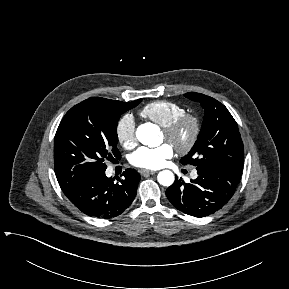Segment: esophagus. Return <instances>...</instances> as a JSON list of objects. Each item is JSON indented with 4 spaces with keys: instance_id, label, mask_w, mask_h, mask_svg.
I'll return each instance as SVG.
<instances>
[{
    "instance_id": "1",
    "label": "esophagus",
    "mask_w": 289,
    "mask_h": 289,
    "mask_svg": "<svg viewBox=\"0 0 289 289\" xmlns=\"http://www.w3.org/2000/svg\"><path fill=\"white\" fill-rule=\"evenodd\" d=\"M139 172H140V174L143 175V176L153 175V174L156 173V171L146 170V169H141Z\"/></svg>"
}]
</instances>
